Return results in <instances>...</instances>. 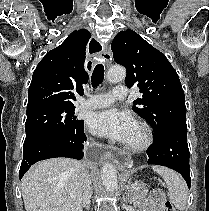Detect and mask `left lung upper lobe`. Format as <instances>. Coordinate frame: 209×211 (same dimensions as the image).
<instances>
[{
  "label": "left lung upper lobe",
  "mask_w": 209,
  "mask_h": 211,
  "mask_svg": "<svg viewBox=\"0 0 209 211\" xmlns=\"http://www.w3.org/2000/svg\"><path fill=\"white\" fill-rule=\"evenodd\" d=\"M111 48L114 60L127 70L126 85L143 93L133 102V111L149 122L154 137L173 125L186 124L184 91L166 56L132 30L119 32Z\"/></svg>",
  "instance_id": "obj_1"
}]
</instances>
